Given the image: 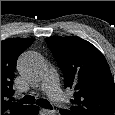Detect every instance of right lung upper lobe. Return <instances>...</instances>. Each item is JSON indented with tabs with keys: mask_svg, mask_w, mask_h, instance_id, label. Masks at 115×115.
Segmentation results:
<instances>
[{
	"mask_svg": "<svg viewBox=\"0 0 115 115\" xmlns=\"http://www.w3.org/2000/svg\"><path fill=\"white\" fill-rule=\"evenodd\" d=\"M34 38H11L1 41V115H26L29 105L13 102V75L18 56Z\"/></svg>",
	"mask_w": 115,
	"mask_h": 115,
	"instance_id": "obj_1",
	"label": "right lung upper lobe"
}]
</instances>
